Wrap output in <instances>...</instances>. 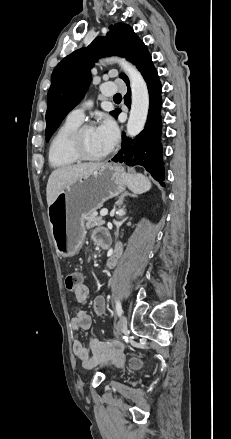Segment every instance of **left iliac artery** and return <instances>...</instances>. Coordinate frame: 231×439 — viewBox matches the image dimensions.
<instances>
[{"label": "left iliac artery", "instance_id": "left-iliac-artery-1", "mask_svg": "<svg viewBox=\"0 0 231 439\" xmlns=\"http://www.w3.org/2000/svg\"><path fill=\"white\" fill-rule=\"evenodd\" d=\"M116 312L119 317L122 315V306L118 300L116 301Z\"/></svg>", "mask_w": 231, "mask_h": 439}]
</instances>
